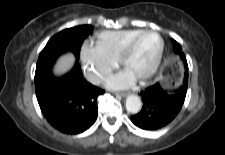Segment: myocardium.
<instances>
[{"label": "myocardium", "instance_id": "myocardium-1", "mask_svg": "<svg viewBox=\"0 0 225 155\" xmlns=\"http://www.w3.org/2000/svg\"><path fill=\"white\" fill-rule=\"evenodd\" d=\"M147 34H155L158 36L159 40H160V48H159V52L158 55L156 57L155 62L153 63L152 67L150 68V70L143 75L141 78H139V80L141 82H145L147 80H149L150 78H152L154 76V74L157 72L162 59H163V55H164V49H165V42L164 39L162 37V35L156 31V30H142L141 32H139L138 34H136L134 37H132L127 44L125 45V47L123 48L120 57H119V64L124 67L126 60L128 59V57L131 55V53L133 52L137 42L145 35Z\"/></svg>", "mask_w": 225, "mask_h": 155}]
</instances>
